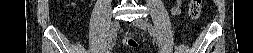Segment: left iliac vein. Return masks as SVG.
I'll list each match as a JSON object with an SVG mask.
<instances>
[{"instance_id": "4c4485c4", "label": "left iliac vein", "mask_w": 253, "mask_h": 53, "mask_svg": "<svg viewBox=\"0 0 253 53\" xmlns=\"http://www.w3.org/2000/svg\"><path fill=\"white\" fill-rule=\"evenodd\" d=\"M134 25L138 28H141V29H149V25L147 24V22L141 18H138L136 20H134ZM151 32V31H150Z\"/></svg>"}]
</instances>
